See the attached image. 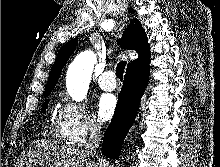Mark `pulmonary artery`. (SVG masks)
I'll list each match as a JSON object with an SVG mask.
<instances>
[{
  "instance_id": "1",
  "label": "pulmonary artery",
  "mask_w": 220,
  "mask_h": 167,
  "mask_svg": "<svg viewBox=\"0 0 220 167\" xmlns=\"http://www.w3.org/2000/svg\"><path fill=\"white\" fill-rule=\"evenodd\" d=\"M98 85L105 91H113L116 88L115 74L112 70L104 71L97 80Z\"/></svg>"
}]
</instances>
